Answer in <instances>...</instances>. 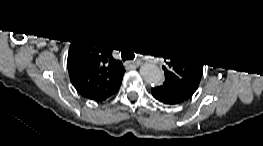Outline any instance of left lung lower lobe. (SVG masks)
Listing matches in <instances>:
<instances>
[{
	"label": "left lung lower lobe",
	"mask_w": 263,
	"mask_h": 146,
	"mask_svg": "<svg viewBox=\"0 0 263 146\" xmlns=\"http://www.w3.org/2000/svg\"><path fill=\"white\" fill-rule=\"evenodd\" d=\"M152 95L160 102L171 105L179 104L190 98L168 81H165L161 86L153 88Z\"/></svg>",
	"instance_id": "1"
}]
</instances>
